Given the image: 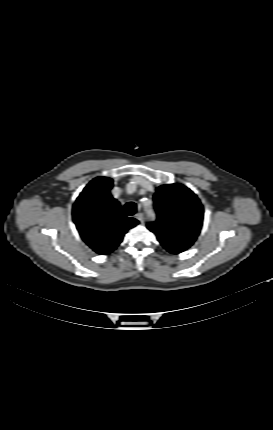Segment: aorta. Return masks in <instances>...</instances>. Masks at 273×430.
<instances>
[{"mask_svg":"<svg viewBox=\"0 0 273 430\" xmlns=\"http://www.w3.org/2000/svg\"><path fill=\"white\" fill-rule=\"evenodd\" d=\"M148 215H149L150 217H154V216H155V211L152 209V210L148 213Z\"/></svg>","mask_w":273,"mask_h":430,"instance_id":"aorta-1","label":"aorta"}]
</instances>
